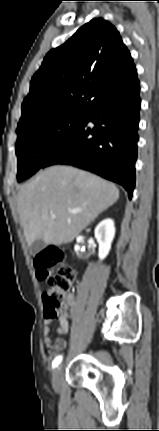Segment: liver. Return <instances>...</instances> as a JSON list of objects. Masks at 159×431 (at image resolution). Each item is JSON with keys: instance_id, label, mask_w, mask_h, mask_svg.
<instances>
[{"instance_id": "6515ba94", "label": "liver", "mask_w": 159, "mask_h": 431, "mask_svg": "<svg viewBox=\"0 0 159 431\" xmlns=\"http://www.w3.org/2000/svg\"><path fill=\"white\" fill-rule=\"evenodd\" d=\"M119 195L113 183L77 168L57 165L41 171L20 188L17 197L28 245L37 239L47 245L72 242ZM71 209L82 211L72 214Z\"/></svg>"}]
</instances>
